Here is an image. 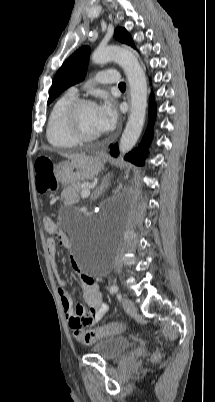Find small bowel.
Returning <instances> with one entry per match:
<instances>
[{"label": "small bowel", "mask_w": 215, "mask_h": 402, "mask_svg": "<svg viewBox=\"0 0 215 402\" xmlns=\"http://www.w3.org/2000/svg\"><path fill=\"white\" fill-rule=\"evenodd\" d=\"M49 233H56L58 242L61 246L68 248L70 246V241L67 235L59 230L55 223L53 222L50 228H45ZM46 248L52 269L56 274L58 284H59V295L61 299V304L65 313V317L74 330L81 329L83 326H91L102 319L108 310L107 304L103 301L99 284L91 277L82 274V288H83V298L89 309H86L82 305H77L74 307L73 300L69 293L65 289V282L60 277L56 256H57V245L53 238H48L46 241ZM73 268L79 272V269L75 262H73Z\"/></svg>", "instance_id": "small-bowel-1"}]
</instances>
